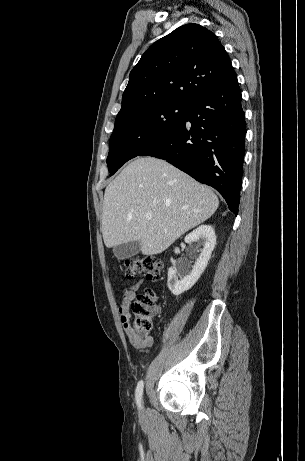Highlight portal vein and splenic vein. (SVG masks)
<instances>
[{"instance_id": "1", "label": "portal vein and splenic vein", "mask_w": 305, "mask_h": 461, "mask_svg": "<svg viewBox=\"0 0 305 461\" xmlns=\"http://www.w3.org/2000/svg\"><path fill=\"white\" fill-rule=\"evenodd\" d=\"M145 218H146L147 220H151V219H152V214H151V213H146V214H145Z\"/></svg>"}]
</instances>
